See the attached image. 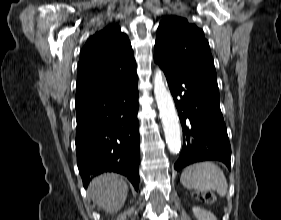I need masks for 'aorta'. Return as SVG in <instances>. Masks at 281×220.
<instances>
[{"mask_svg": "<svg viewBox=\"0 0 281 220\" xmlns=\"http://www.w3.org/2000/svg\"><path fill=\"white\" fill-rule=\"evenodd\" d=\"M154 95L169 151L177 153L181 147L179 119L171 93L164 84L161 71H156L154 76Z\"/></svg>", "mask_w": 281, "mask_h": 220, "instance_id": "1", "label": "aorta"}]
</instances>
